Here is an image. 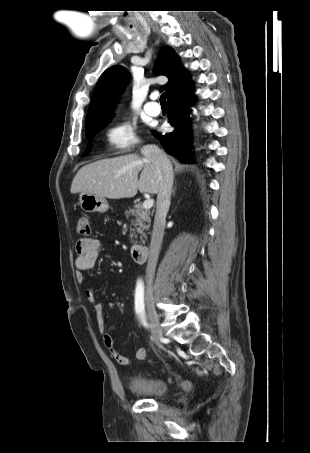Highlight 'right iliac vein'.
Instances as JSON below:
<instances>
[{"label":"right iliac vein","instance_id":"63e3f726","mask_svg":"<svg viewBox=\"0 0 310 453\" xmlns=\"http://www.w3.org/2000/svg\"><path fill=\"white\" fill-rule=\"evenodd\" d=\"M145 304H146V314L147 318L152 326V334L156 341H160L162 338V331L159 327V318L154 306V298H153V289L149 285L147 286L146 293H145Z\"/></svg>","mask_w":310,"mask_h":453}]
</instances>
